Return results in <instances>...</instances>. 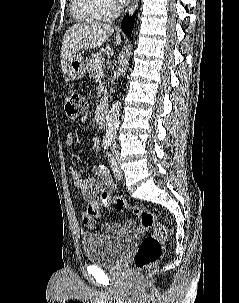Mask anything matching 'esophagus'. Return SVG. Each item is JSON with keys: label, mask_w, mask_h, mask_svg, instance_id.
Instances as JSON below:
<instances>
[{"label": "esophagus", "mask_w": 239, "mask_h": 303, "mask_svg": "<svg viewBox=\"0 0 239 303\" xmlns=\"http://www.w3.org/2000/svg\"><path fill=\"white\" fill-rule=\"evenodd\" d=\"M138 3L139 0H132V3L130 5V14H133V12L137 9Z\"/></svg>", "instance_id": "1"}]
</instances>
